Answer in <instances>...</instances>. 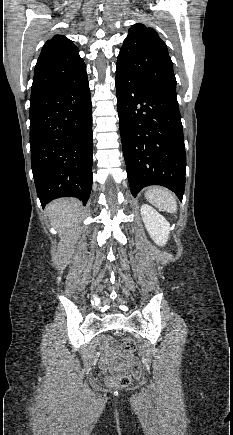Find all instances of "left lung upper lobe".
<instances>
[{"mask_svg": "<svg viewBox=\"0 0 233 435\" xmlns=\"http://www.w3.org/2000/svg\"><path fill=\"white\" fill-rule=\"evenodd\" d=\"M151 89L176 96V78L166 44L157 32L135 24L123 42L116 63Z\"/></svg>", "mask_w": 233, "mask_h": 435, "instance_id": "1", "label": "left lung upper lobe"}]
</instances>
